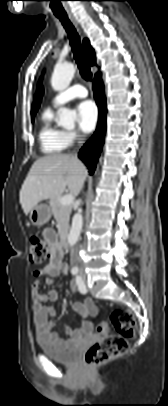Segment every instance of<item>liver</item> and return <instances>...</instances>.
<instances>
[{
  "label": "liver",
  "mask_w": 168,
  "mask_h": 406,
  "mask_svg": "<svg viewBox=\"0 0 168 406\" xmlns=\"http://www.w3.org/2000/svg\"><path fill=\"white\" fill-rule=\"evenodd\" d=\"M87 169L70 154H52L36 160L20 190V204L27 215L39 202L60 196L66 187L78 195Z\"/></svg>",
  "instance_id": "liver-1"
}]
</instances>
